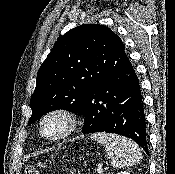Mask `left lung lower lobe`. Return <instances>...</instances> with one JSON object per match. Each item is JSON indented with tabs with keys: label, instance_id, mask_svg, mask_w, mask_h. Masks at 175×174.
<instances>
[{
	"label": "left lung lower lobe",
	"instance_id": "left-lung-lower-lobe-1",
	"mask_svg": "<svg viewBox=\"0 0 175 174\" xmlns=\"http://www.w3.org/2000/svg\"><path fill=\"white\" fill-rule=\"evenodd\" d=\"M83 134L108 132L131 138L148 154L140 84L125 51L109 74L85 96Z\"/></svg>",
	"mask_w": 175,
	"mask_h": 174
}]
</instances>
